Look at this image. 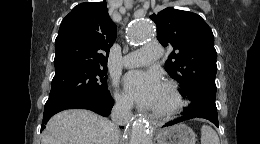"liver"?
Returning <instances> with one entry per match:
<instances>
[{
	"label": "liver",
	"mask_w": 260,
	"mask_h": 144,
	"mask_svg": "<svg viewBox=\"0 0 260 144\" xmlns=\"http://www.w3.org/2000/svg\"><path fill=\"white\" fill-rule=\"evenodd\" d=\"M42 144H116L112 122L91 111L71 109L54 115L42 134Z\"/></svg>",
	"instance_id": "6515ba94"
}]
</instances>
